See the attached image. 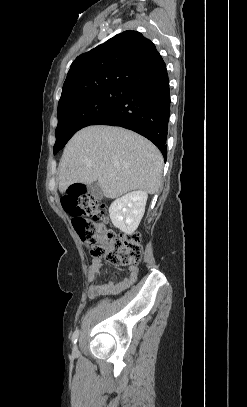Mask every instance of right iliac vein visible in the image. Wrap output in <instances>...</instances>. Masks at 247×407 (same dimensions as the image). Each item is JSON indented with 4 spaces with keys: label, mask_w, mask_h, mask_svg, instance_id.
<instances>
[{
    "label": "right iliac vein",
    "mask_w": 247,
    "mask_h": 407,
    "mask_svg": "<svg viewBox=\"0 0 247 407\" xmlns=\"http://www.w3.org/2000/svg\"><path fill=\"white\" fill-rule=\"evenodd\" d=\"M73 353H74V354H77V353H78V347H77V345H75V346L73 347Z\"/></svg>",
    "instance_id": "obj_1"
}]
</instances>
